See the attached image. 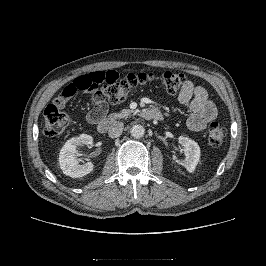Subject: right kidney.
Segmentation results:
<instances>
[{"label": "right kidney", "instance_id": "obj_1", "mask_svg": "<svg viewBox=\"0 0 266 266\" xmlns=\"http://www.w3.org/2000/svg\"><path fill=\"white\" fill-rule=\"evenodd\" d=\"M93 143V138L87 134H81L78 137H73L69 139L59 154V165L63 173L72 178H79L89 174L94 165L92 162H87L84 164H78L75 157L76 149L80 145L90 146Z\"/></svg>", "mask_w": 266, "mask_h": 266}]
</instances>
